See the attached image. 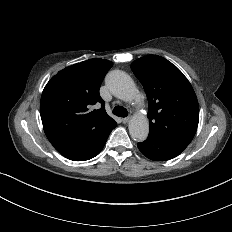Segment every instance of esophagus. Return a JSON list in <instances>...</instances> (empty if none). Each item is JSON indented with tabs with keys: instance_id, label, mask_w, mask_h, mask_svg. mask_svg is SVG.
<instances>
[{
	"instance_id": "esophagus-1",
	"label": "esophagus",
	"mask_w": 232,
	"mask_h": 232,
	"mask_svg": "<svg viewBox=\"0 0 232 232\" xmlns=\"http://www.w3.org/2000/svg\"><path fill=\"white\" fill-rule=\"evenodd\" d=\"M130 117L122 118L123 124H126L129 121Z\"/></svg>"
}]
</instances>
